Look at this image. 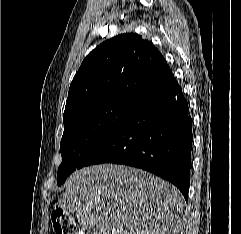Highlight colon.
I'll return each instance as SVG.
<instances>
[{
	"label": "colon",
	"instance_id": "colon-1",
	"mask_svg": "<svg viewBox=\"0 0 241 234\" xmlns=\"http://www.w3.org/2000/svg\"><path fill=\"white\" fill-rule=\"evenodd\" d=\"M51 219L55 234H80L73 217L64 209L55 207Z\"/></svg>",
	"mask_w": 241,
	"mask_h": 234
}]
</instances>
